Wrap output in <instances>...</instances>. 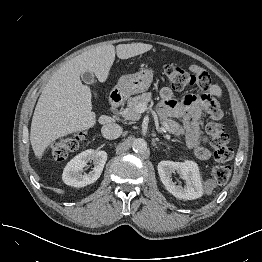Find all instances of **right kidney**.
Instances as JSON below:
<instances>
[{
    "label": "right kidney",
    "instance_id": "obj_1",
    "mask_svg": "<svg viewBox=\"0 0 262 262\" xmlns=\"http://www.w3.org/2000/svg\"><path fill=\"white\" fill-rule=\"evenodd\" d=\"M93 161V169L88 174L81 171L88 162ZM107 161L105 151L88 149L76 155L64 168L62 179L65 184L72 187H84L94 183L101 175Z\"/></svg>",
    "mask_w": 262,
    "mask_h": 262
}]
</instances>
